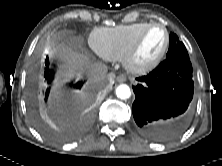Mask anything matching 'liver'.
Wrapping results in <instances>:
<instances>
[{
    "label": "liver",
    "instance_id": "6515ba94",
    "mask_svg": "<svg viewBox=\"0 0 222 166\" xmlns=\"http://www.w3.org/2000/svg\"><path fill=\"white\" fill-rule=\"evenodd\" d=\"M50 53L57 56L62 62L60 65L61 72L59 73V80L56 82V87H59L60 83L65 80H69L73 76L80 77L91 65L87 56L74 52L70 48L64 45H52L50 47ZM54 98L57 97L58 91L54 94Z\"/></svg>",
    "mask_w": 222,
    "mask_h": 166
}]
</instances>
